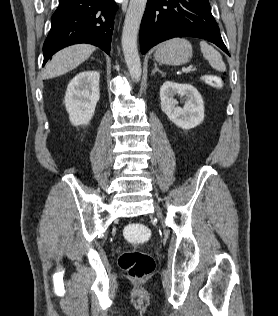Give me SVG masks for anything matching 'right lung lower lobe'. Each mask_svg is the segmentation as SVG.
I'll use <instances>...</instances> for the list:
<instances>
[{
	"instance_id": "1",
	"label": "right lung lower lobe",
	"mask_w": 278,
	"mask_h": 316,
	"mask_svg": "<svg viewBox=\"0 0 278 316\" xmlns=\"http://www.w3.org/2000/svg\"><path fill=\"white\" fill-rule=\"evenodd\" d=\"M59 2L43 45V65L60 49L77 43L93 44L110 54L116 3L113 0Z\"/></svg>"
}]
</instances>
